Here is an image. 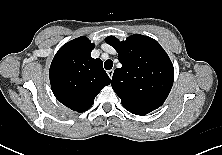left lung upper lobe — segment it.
<instances>
[{"instance_id":"obj_1","label":"left lung upper lobe","mask_w":222,"mask_h":155,"mask_svg":"<svg viewBox=\"0 0 222 155\" xmlns=\"http://www.w3.org/2000/svg\"><path fill=\"white\" fill-rule=\"evenodd\" d=\"M118 52L121 68L114 71L112 88L122 105L136 115H146L160 107L174 81V68L167 53L154 39L134 34L120 42L105 39Z\"/></svg>"}]
</instances>
